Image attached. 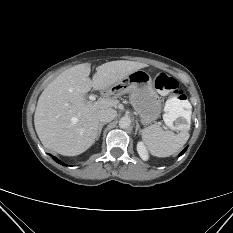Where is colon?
Wrapping results in <instances>:
<instances>
[{"label":"colon","mask_w":233,"mask_h":233,"mask_svg":"<svg viewBox=\"0 0 233 233\" xmlns=\"http://www.w3.org/2000/svg\"><path fill=\"white\" fill-rule=\"evenodd\" d=\"M154 83L158 91L171 95L164 107L167 125L174 130L187 128L191 120L192 108L179 83L165 73H158Z\"/></svg>","instance_id":"colon-1"}]
</instances>
